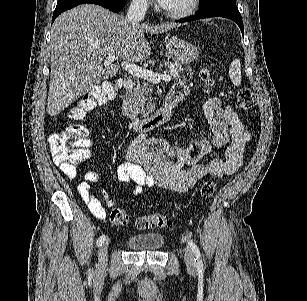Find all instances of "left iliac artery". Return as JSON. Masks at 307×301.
<instances>
[{"label":"left iliac artery","instance_id":"left-iliac-artery-1","mask_svg":"<svg viewBox=\"0 0 307 301\" xmlns=\"http://www.w3.org/2000/svg\"><path fill=\"white\" fill-rule=\"evenodd\" d=\"M188 245L195 255L194 260H195V265H196L197 270L203 269L204 265H203L202 257H201V254H200V251L197 245L191 239L188 240Z\"/></svg>","mask_w":307,"mask_h":301}]
</instances>
